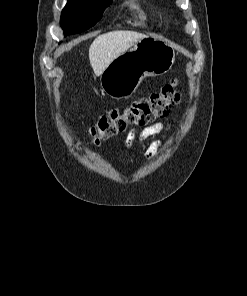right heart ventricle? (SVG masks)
Returning a JSON list of instances; mask_svg holds the SVG:
<instances>
[{
  "label": "right heart ventricle",
  "instance_id": "e07e8e85",
  "mask_svg": "<svg viewBox=\"0 0 247 296\" xmlns=\"http://www.w3.org/2000/svg\"><path fill=\"white\" fill-rule=\"evenodd\" d=\"M130 6L135 13L134 24L142 27L146 26L148 21V16L146 12L136 2H131Z\"/></svg>",
  "mask_w": 247,
  "mask_h": 296
}]
</instances>
